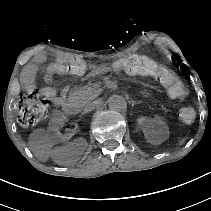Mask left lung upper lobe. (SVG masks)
I'll use <instances>...</instances> for the list:
<instances>
[{
    "label": "left lung upper lobe",
    "mask_w": 211,
    "mask_h": 211,
    "mask_svg": "<svg viewBox=\"0 0 211 211\" xmlns=\"http://www.w3.org/2000/svg\"><path fill=\"white\" fill-rule=\"evenodd\" d=\"M173 61L175 62V61H178V63L180 64L181 63V60L177 57V56H174L173 57ZM184 70H186V68H185V65H182L181 66ZM187 71V70H186Z\"/></svg>",
    "instance_id": "5c2ea615"
}]
</instances>
